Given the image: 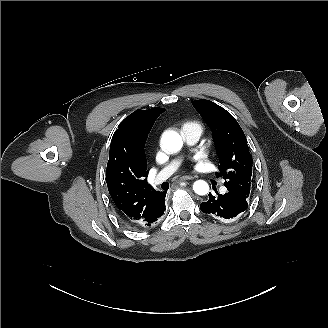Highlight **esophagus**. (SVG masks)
<instances>
[{
    "instance_id": "obj_1",
    "label": "esophagus",
    "mask_w": 328,
    "mask_h": 328,
    "mask_svg": "<svg viewBox=\"0 0 328 328\" xmlns=\"http://www.w3.org/2000/svg\"><path fill=\"white\" fill-rule=\"evenodd\" d=\"M179 179H180L181 181H186V180H193L194 177H192V176H182V177H180Z\"/></svg>"
}]
</instances>
